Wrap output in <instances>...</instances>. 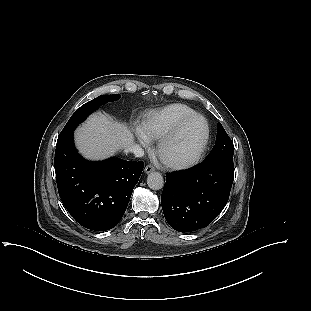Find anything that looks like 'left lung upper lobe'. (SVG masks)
I'll use <instances>...</instances> for the list:
<instances>
[{"label":"left lung upper lobe","instance_id":"obj_1","mask_svg":"<svg viewBox=\"0 0 311 311\" xmlns=\"http://www.w3.org/2000/svg\"><path fill=\"white\" fill-rule=\"evenodd\" d=\"M233 142L227 135L221 123H218L216 143L205 161H224L233 163Z\"/></svg>","mask_w":311,"mask_h":311}]
</instances>
